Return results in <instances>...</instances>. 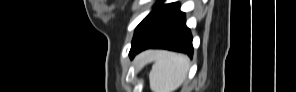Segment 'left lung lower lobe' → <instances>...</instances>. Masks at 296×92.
Returning a JSON list of instances; mask_svg holds the SVG:
<instances>
[{
  "instance_id": "obj_1",
  "label": "left lung lower lobe",
  "mask_w": 296,
  "mask_h": 92,
  "mask_svg": "<svg viewBox=\"0 0 296 92\" xmlns=\"http://www.w3.org/2000/svg\"><path fill=\"white\" fill-rule=\"evenodd\" d=\"M148 48H162L193 55L192 36L185 24V14L177 2L167 4L144 39L130 50V57Z\"/></svg>"
}]
</instances>
